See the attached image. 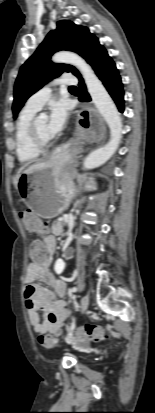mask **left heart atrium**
Masks as SVG:
<instances>
[{"label": "left heart atrium", "mask_w": 155, "mask_h": 413, "mask_svg": "<svg viewBox=\"0 0 155 413\" xmlns=\"http://www.w3.org/2000/svg\"><path fill=\"white\" fill-rule=\"evenodd\" d=\"M68 116L69 107L65 101H57L51 105L50 116L47 122V132L51 138L64 129Z\"/></svg>", "instance_id": "obj_1"}]
</instances>
